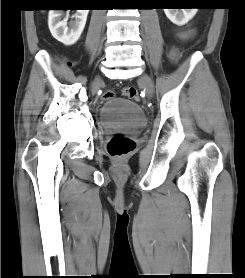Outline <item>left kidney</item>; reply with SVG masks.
I'll return each mask as SVG.
<instances>
[{
	"label": "left kidney",
	"mask_w": 245,
	"mask_h": 278,
	"mask_svg": "<svg viewBox=\"0 0 245 278\" xmlns=\"http://www.w3.org/2000/svg\"><path fill=\"white\" fill-rule=\"evenodd\" d=\"M197 8L192 9H164L167 18L174 24L182 26L192 19L197 13Z\"/></svg>",
	"instance_id": "left-kidney-1"
}]
</instances>
